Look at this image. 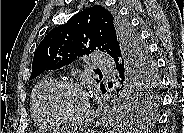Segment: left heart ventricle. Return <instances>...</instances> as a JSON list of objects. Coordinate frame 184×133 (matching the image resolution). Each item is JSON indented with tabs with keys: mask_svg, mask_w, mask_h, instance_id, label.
Listing matches in <instances>:
<instances>
[{
	"mask_svg": "<svg viewBox=\"0 0 184 133\" xmlns=\"http://www.w3.org/2000/svg\"><path fill=\"white\" fill-rule=\"evenodd\" d=\"M53 107L60 117L76 119L85 112L87 99L84 93L78 89L64 88L56 93Z\"/></svg>",
	"mask_w": 184,
	"mask_h": 133,
	"instance_id": "1",
	"label": "left heart ventricle"
}]
</instances>
